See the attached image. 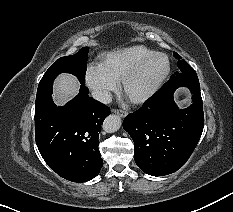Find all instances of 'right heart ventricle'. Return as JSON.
Returning <instances> with one entry per match:
<instances>
[{
	"label": "right heart ventricle",
	"mask_w": 233,
	"mask_h": 212,
	"mask_svg": "<svg viewBox=\"0 0 233 212\" xmlns=\"http://www.w3.org/2000/svg\"><path fill=\"white\" fill-rule=\"evenodd\" d=\"M154 52L143 45L129 46L102 55L100 65L119 82L138 62Z\"/></svg>",
	"instance_id": "1"
}]
</instances>
